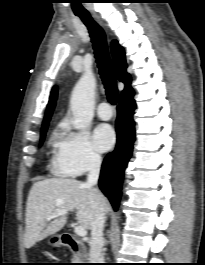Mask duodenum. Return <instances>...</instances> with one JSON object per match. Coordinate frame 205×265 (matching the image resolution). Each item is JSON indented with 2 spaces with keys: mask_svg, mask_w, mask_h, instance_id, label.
<instances>
[{
  "mask_svg": "<svg viewBox=\"0 0 205 265\" xmlns=\"http://www.w3.org/2000/svg\"><path fill=\"white\" fill-rule=\"evenodd\" d=\"M61 243L69 248L76 255H81L84 252V245L81 241L68 233H64L61 236Z\"/></svg>",
  "mask_w": 205,
  "mask_h": 265,
  "instance_id": "1",
  "label": "duodenum"
}]
</instances>
